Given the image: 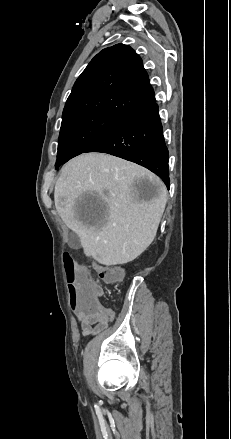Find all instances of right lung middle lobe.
<instances>
[{
  "label": "right lung middle lobe",
  "mask_w": 231,
  "mask_h": 439,
  "mask_svg": "<svg viewBox=\"0 0 231 439\" xmlns=\"http://www.w3.org/2000/svg\"><path fill=\"white\" fill-rule=\"evenodd\" d=\"M122 118L124 117L102 112H87L62 118L56 169L84 153Z\"/></svg>",
  "instance_id": "right-lung-middle-lobe-1"
}]
</instances>
